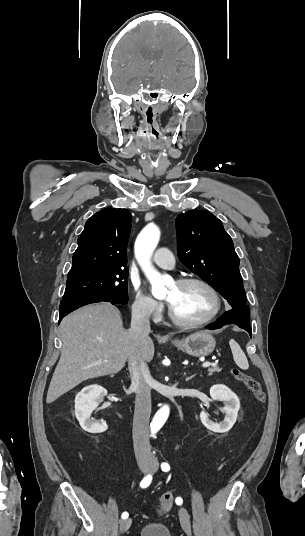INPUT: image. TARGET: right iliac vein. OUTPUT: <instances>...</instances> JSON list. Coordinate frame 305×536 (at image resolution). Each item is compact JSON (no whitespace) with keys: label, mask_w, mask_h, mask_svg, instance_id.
Masks as SVG:
<instances>
[{"label":"right iliac vein","mask_w":305,"mask_h":536,"mask_svg":"<svg viewBox=\"0 0 305 536\" xmlns=\"http://www.w3.org/2000/svg\"><path fill=\"white\" fill-rule=\"evenodd\" d=\"M141 470L143 472H145L147 470V467L146 466H141ZM130 526H131V519L130 518L122 520L121 523H120V531H121V533L126 532L129 529Z\"/></svg>","instance_id":"obj_1"}]
</instances>
